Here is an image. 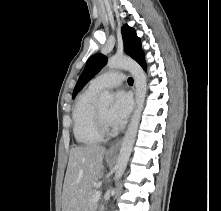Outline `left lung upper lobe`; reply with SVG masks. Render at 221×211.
Listing matches in <instances>:
<instances>
[{"label":"left lung upper lobe","instance_id":"1","mask_svg":"<svg viewBox=\"0 0 221 211\" xmlns=\"http://www.w3.org/2000/svg\"><path fill=\"white\" fill-rule=\"evenodd\" d=\"M121 30L126 53L139 64L145 62L141 48V41L137 37L135 30L127 24H125ZM106 61V56L100 53H97L89 58L75 86L73 98H75L77 93L85 86V84L101 70V68L106 64Z\"/></svg>","mask_w":221,"mask_h":211}]
</instances>
